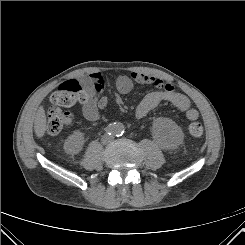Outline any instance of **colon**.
<instances>
[{
    "label": "colon",
    "mask_w": 245,
    "mask_h": 245,
    "mask_svg": "<svg viewBox=\"0 0 245 245\" xmlns=\"http://www.w3.org/2000/svg\"><path fill=\"white\" fill-rule=\"evenodd\" d=\"M90 96L87 88L77 80H70L61 84L51 96L52 106L48 113L47 130L50 134H59L70 127L73 121L71 113L63 108L84 102ZM188 131L193 137H201L204 129L200 122H192Z\"/></svg>",
    "instance_id": "1"
}]
</instances>
